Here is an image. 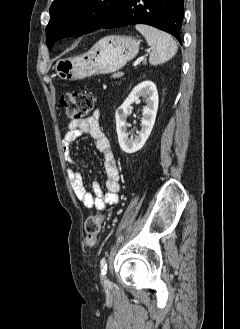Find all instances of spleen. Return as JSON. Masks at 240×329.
I'll list each match as a JSON object with an SVG mask.
<instances>
[{
	"instance_id": "1",
	"label": "spleen",
	"mask_w": 240,
	"mask_h": 329,
	"mask_svg": "<svg viewBox=\"0 0 240 329\" xmlns=\"http://www.w3.org/2000/svg\"><path fill=\"white\" fill-rule=\"evenodd\" d=\"M135 28L145 37L148 45L152 48L149 57L150 64H161L177 53V43L168 33L144 24H137Z\"/></svg>"
}]
</instances>
